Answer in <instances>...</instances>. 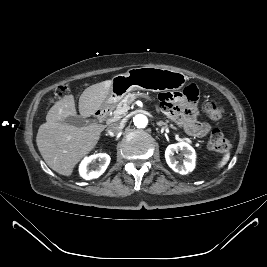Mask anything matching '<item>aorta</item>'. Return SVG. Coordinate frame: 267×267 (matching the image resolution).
Masks as SVG:
<instances>
[{
	"instance_id": "1",
	"label": "aorta",
	"mask_w": 267,
	"mask_h": 267,
	"mask_svg": "<svg viewBox=\"0 0 267 267\" xmlns=\"http://www.w3.org/2000/svg\"><path fill=\"white\" fill-rule=\"evenodd\" d=\"M149 123V119L144 114H136L133 117V124L136 128L143 129L146 128Z\"/></svg>"
}]
</instances>
